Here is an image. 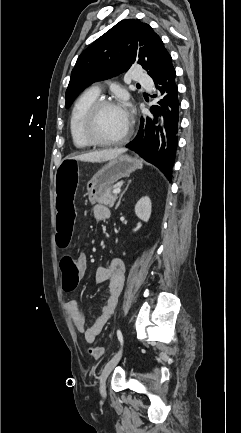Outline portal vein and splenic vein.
Segmentation results:
<instances>
[{"label":"portal vein and splenic vein","instance_id":"obj_1","mask_svg":"<svg viewBox=\"0 0 241 433\" xmlns=\"http://www.w3.org/2000/svg\"><path fill=\"white\" fill-rule=\"evenodd\" d=\"M121 189L120 188H116L113 190V194H118L120 193Z\"/></svg>","mask_w":241,"mask_h":433}]
</instances>
